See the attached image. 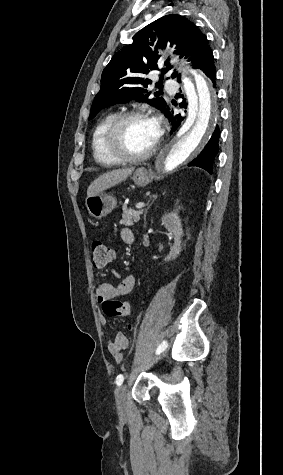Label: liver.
Listing matches in <instances>:
<instances>
[{
	"label": "liver",
	"mask_w": 283,
	"mask_h": 475,
	"mask_svg": "<svg viewBox=\"0 0 283 475\" xmlns=\"http://www.w3.org/2000/svg\"><path fill=\"white\" fill-rule=\"evenodd\" d=\"M135 168H122V170H111V172H106L102 174L99 178H96L92 184H90L87 190V196H97L101 194L104 190L112 188V186H117L121 184L124 180H127L128 176L134 172Z\"/></svg>",
	"instance_id": "liver-1"
}]
</instances>
